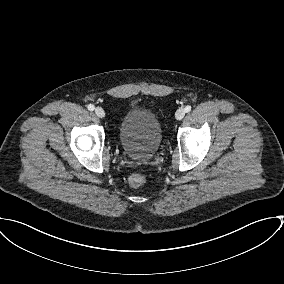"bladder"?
<instances>
[{
    "mask_svg": "<svg viewBox=\"0 0 284 284\" xmlns=\"http://www.w3.org/2000/svg\"><path fill=\"white\" fill-rule=\"evenodd\" d=\"M119 141L130 158L150 160L162 141V125L158 116L148 108L131 106L120 121Z\"/></svg>",
    "mask_w": 284,
    "mask_h": 284,
    "instance_id": "obj_1",
    "label": "bladder"
}]
</instances>
